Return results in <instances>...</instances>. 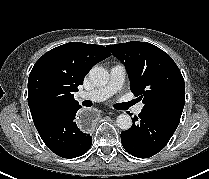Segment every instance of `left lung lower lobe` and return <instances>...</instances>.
Here are the masks:
<instances>
[{
  "instance_id": "obj_1",
  "label": "left lung lower lobe",
  "mask_w": 209,
  "mask_h": 179,
  "mask_svg": "<svg viewBox=\"0 0 209 179\" xmlns=\"http://www.w3.org/2000/svg\"><path fill=\"white\" fill-rule=\"evenodd\" d=\"M181 113L143 110L134 116L130 129L121 133L124 149L138 158H148L161 151L175 132Z\"/></svg>"
}]
</instances>
